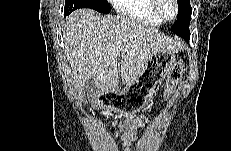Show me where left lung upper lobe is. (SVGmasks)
I'll list each match as a JSON object with an SVG mask.
<instances>
[{"label":"left lung upper lobe","mask_w":231,"mask_h":151,"mask_svg":"<svg viewBox=\"0 0 231 151\" xmlns=\"http://www.w3.org/2000/svg\"><path fill=\"white\" fill-rule=\"evenodd\" d=\"M178 7V18L171 27V31L184 38L190 35L189 24L192 14L190 0H178Z\"/></svg>","instance_id":"5c2ea615"}]
</instances>
